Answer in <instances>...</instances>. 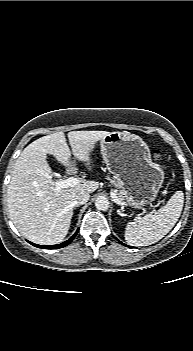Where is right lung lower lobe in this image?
<instances>
[{
	"label": "right lung lower lobe",
	"mask_w": 193,
	"mask_h": 351,
	"mask_svg": "<svg viewBox=\"0 0 193 351\" xmlns=\"http://www.w3.org/2000/svg\"><path fill=\"white\" fill-rule=\"evenodd\" d=\"M78 230L76 231V233L67 241L61 243V244H57V245H53V246H41V245H37V244H34V243H31L33 246H36L38 248H43V249H58V248H62V247H65L67 246L76 236Z\"/></svg>",
	"instance_id": "right-lung-lower-lobe-1"
}]
</instances>
